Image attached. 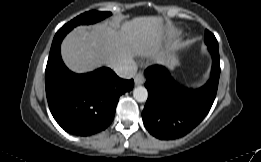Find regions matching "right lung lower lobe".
<instances>
[{"label":"right lung lower lobe","mask_w":261,"mask_h":162,"mask_svg":"<svg viewBox=\"0 0 261 162\" xmlns=\"http://www.w3.org/2000/svg\"><path fill=\"white\" fill-rule=\"evenodd\" d=\"M56 33L45 71L48 105L56 122L68 133L90 136L112 122L119 97L132 90L134 81L119 78L107 67L75 74L64 65L60 45L69 32Z\"/></svg>","instance_id":"right-lung-lower-lobe-1"}]
</instances>
